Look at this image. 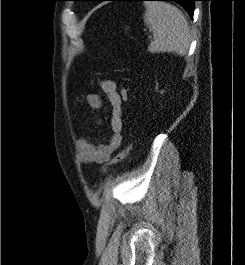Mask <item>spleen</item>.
<instances>
[{"mask_svg":"<svg viewBox=\"0 0 245 265\" xmlns=\"http://www.w3.org/2000/svg\"><path fill=\"white\" fill-rule=\"evenodd\" d=\"M144 6V22L153 32V41L148 51L186 55L191 35L188 21L182 11L170 3L161 1H146Z\"/></svg>","mask_w":245,"mask_h":265,"instance_id":"spleen-1","label":"spleen"}]
</instances>
